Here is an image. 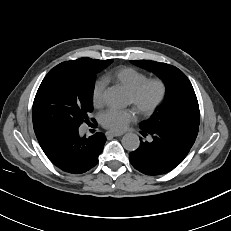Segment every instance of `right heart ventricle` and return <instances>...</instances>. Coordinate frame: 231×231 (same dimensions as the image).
Segmentation results:
<instances>
[{"instance_id": "1", "label": "right heart ventricle", "mask_w": 231, "mask_h": 231, "mask_svg": "<svg viewBox=\"0 0 231 231\" xmlns=\"http://www.w3.org/2000/svg\"><path fill=\"white\" fill-rule=\"evenodd\" d=\"M115 82L122 85L127 91H132L139 84L145 81L147 75L133 67H123L116 70L111 76Z\"/></svg>"}]
</instances>
